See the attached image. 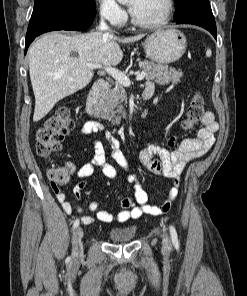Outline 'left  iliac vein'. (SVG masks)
Segmentation results:
<instances>
[{"label": "left iliac vein", "mask_w": 247, "mask_h": 296, "mask_svg": "<svg viewBox=\"0 0 247 296\" xmlns=\"http://www.w3.org/2000/svg\"><path fill=\"white\" fill-rule=\"evenodd\" d=\"M163 245L164 247H168L170 245V240L167 234L163 236Z\"/></svg>", "instance_id": "4c4485c4"}]
</instances>
